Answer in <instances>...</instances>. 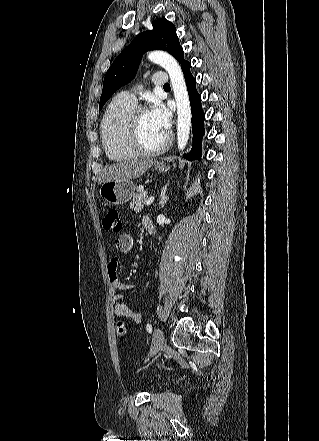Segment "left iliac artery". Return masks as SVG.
Wrapping results in <instances>:
<instances>
[{
	"label": "left iliac artery",
	"mask_w": 319,
	"mask_h": 441,
	"mask_svg": "<svg viewBox=\"0 0 319 441\" xmlns=\"http://www.w3.org/2000/svg\"><path fill=\"white\" fill-rule=\"evenodd\" d=\"M146 330H147L149 333H152V326H151V324H149V323L146 324Z\"/></svg>",
	"instance_id": "1"
}]
</instances>
